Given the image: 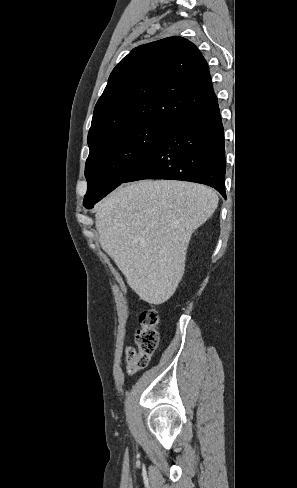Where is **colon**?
<instances>
[{
  "label": "colon",
  "mask_w": 297,
  "mask_h": 488,
  "mask_svg": "<svg viewBox=\"0 0 297 488\" xmlns=\"http://www.w3.org/2000/svg\"><path fill=\"white\" fill-rule=\"evenodd\" d=\"M139 323L140 326L135 335L137 350L132 347L126 349V363L129 373L146 367L159 344L157 310L154 307L144 309L140 314Z\"/></svg>",
  "instance_id": "1"
}]
</instances>
